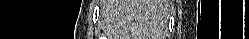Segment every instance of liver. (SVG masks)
Listing matches in <instances>:
<instances>
[{"instance_id":"6515ba94","label":"liver","mask_w":249,"mask_h":39,"mask_svg":"<svg viewBox=\"0 0 249 39\" xmlns=\"http://www.w3.org/2000/svg\"><path fill=\"white\" fill-rule=\"evenodd\" d=\"M167 0H109L102 6L105 32L113 39H162Z\"/></svg>"}]
</instances>
